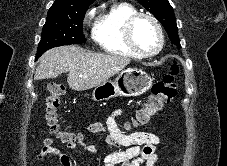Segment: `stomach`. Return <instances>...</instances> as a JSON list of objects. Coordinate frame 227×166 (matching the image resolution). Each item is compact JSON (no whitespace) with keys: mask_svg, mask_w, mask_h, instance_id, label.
Returning <instances> with one entry per match:
<instances>
[{"mask_svg":"<svg viewBox=\"0 0 227 166\" xmlns=\"http://www.w3.org/2000/svg\"><path fill=\"white\" fill-rule=\"evenodd\" d=\"M152 85V78L138 68L120 71L114 81L96 86L92 92L95 101H104L117 96L134 97L145 93Z\"/></svg>","mask_w":227,"mask_h":166,"instance_id":"obj_1","label":"stomach"}]
</instances>
